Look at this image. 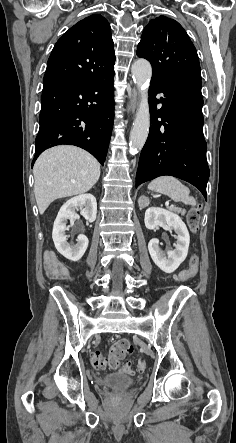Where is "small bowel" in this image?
<instances>
[{
    "label": "small bowel",
    "instance_id": "1",
    "mask_svg": "<svg viewBox=\"0 0 236 443\" xmlns=\"http://www.w3.org/2000/svg\"><path fill=\"white\" fill-rule=\"evenodd\" d=\"M44 267L50 279L70 280L72 278L71 269L52 250L45 252Z\"/></svg>",
    "mask_w": 236,
    "mask_h": 443
}]
</instances>
